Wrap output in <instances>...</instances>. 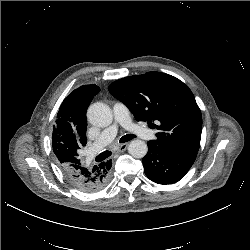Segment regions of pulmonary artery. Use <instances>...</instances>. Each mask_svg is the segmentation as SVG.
Masks as SVG:
<instances>
[{
    "label": "pulmonary artery",
    "instance_id": "obj_1",
    "mask_svg": "<svg viewBox=\"0 0 250 250\" xmlns=\"http://www.w3.org/2000/svg\"><path fill=\"white\" fill-rule=\"evenodd\" d=\"M114 123L107 127L99 138L87 149L86 157L91 160L106 145L111 143L118 133L119 126L130 131L142 139H153L155 132L144 125L134 124L129 116L127 108L120 102L113 106Z\"/></svg>",
    "mask_w": 250,
    "mask_h": 250
}]
</instances>
